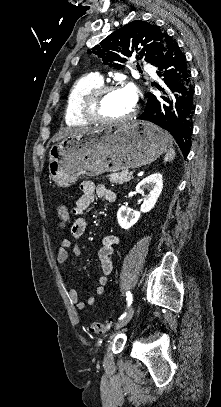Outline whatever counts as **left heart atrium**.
Returning <instances> with one entry per match:
<instances>
[{"instance_id": "39dd6f15", "label": "left heart atrium", "mask_w": 221, "mask_h": 407, "mask_svg": "<svg viewBox=\"0 0 221 407\" xmlns=\"http://www.w3.org/2000/svg\"><path fill=\"white\" fill-rule=\"evenodd\" d=\"M125 94L127 95V97L129 98V100L131 101V103L133 105H135L136 101H137V91L134 85L132 84H128L126 85L123 89H122Z\"/></svg>"}]
</instances>
